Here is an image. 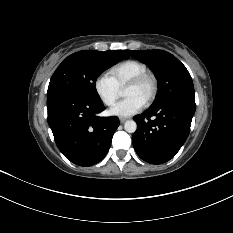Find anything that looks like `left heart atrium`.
<instances>
[{"label": "left heart atrium", "mask_w": 233, "mask_h": 233, "mask_svg": "<svg viewBox=\"0 0 233 233\" xmlns=\"http://www.w3.org/2000/svg\"><path fill=\"white\" fill-rule=\"evenodd\" d=\"M145 102L137 96H128L116 103L109 113L118 117H130L140 112L144 107Z\"/></svg>", "instance_id": "1"}]
</instances>
